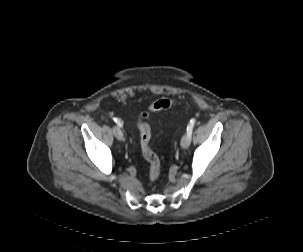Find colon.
I'll use <instances>...</instances> for the list:
<instances>
[{"instance_id":"obj_1","label":"colon","mask_w":303,"mask_h":252,"mask_svg":"<svg viewBox=\"0 0 303 252\" xmlns=\"http://www.w3.org/2000/svg\"><path fill=\"white\" fill-rule=\"evenodd\" d=\"M176 104L173 99H160L150 105L146 112L140 114L138 118V128L140 133V147L144 158L149 163V176L152 181L159 178L161 165L157 155L151 150L150 139L151 129L147 123V119L152 112L167 109L172 105Z\"/></svg>"}]
</instances>
